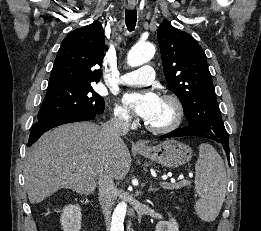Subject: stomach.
Here are the masks:
<instances>
[{"mask_svg":"<svg viewBox=\"0 0 261 231\" xmlns=\"http://www.w3.org/2000/svg\"><path fill=\"white\" fill-rule=\"evenodd\" d=\"M139 154L167 168H177L189 162L192 149L177 140H166L156 146L138 150Z\"/></svg>","mask_w":261,"mask_h":231,"instance_id":"0dacf381","label":"stomach"}]
</instances>
